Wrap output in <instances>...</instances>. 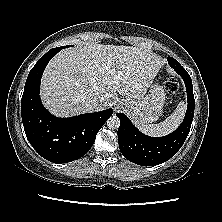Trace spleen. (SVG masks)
<instances>
[{"mask_svg":"<svg viewBox=\"0 0 222 222\" xmlns=\"http://www.w3.org/2000/svg\"><path fill=\"white\" fill-rule=\"evenodd\" d=\"M186 111L185 102H180L175 111L158 124H143L139 126L140 131L150 136L159 137L171 133L181 123Z\"/></svg>","mask_w":222,"mask_h":222,"instance_id":"obj_1","label":"spleen"}]
</instances>
